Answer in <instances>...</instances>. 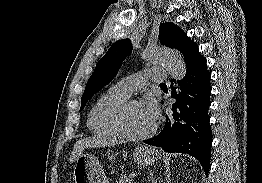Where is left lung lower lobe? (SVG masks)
Segmentation results:
<instances>
[{
    "instance_id": "1",
    "label": "left lung lower lobe",
    "mask_w": 262,
    "mask_h": 183,
    "mask_svg": "<svg viewBox=\"0 0 262 183\" xmlns=\"http://www.w3.org/2000/svg\"><path fill=\"white\" fill-rule=\"evenodd\" d=\"M186 75L179 86L173 88L171 97L173 114L166 116L163 130L157 136L144 141L161 147L166 152L187 153L202 165L206 175L210 167L212 132L208 108L211 105L210 77L206 59L195 51L185 59Z\"/></svg>"
}]
</instances>
